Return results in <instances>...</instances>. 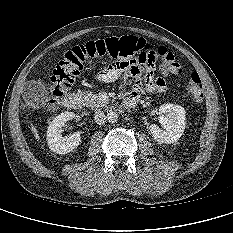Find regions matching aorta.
<instances>
[{"label": "aorta", "mask_w": 233, "mask_h": 233, "mask_svg": "<svg viewBox=\"0 0 233 233\" xmlns=\"http://www.w3.org/2000/svg\"><path fill=\"white\" fill-rule=\"evenodd\" d=\"M107 121L109 123H116L118 121V114L114 111H110L107 113Z\"/></svg>", "instance_id": "obj_1"}]
</instances>
